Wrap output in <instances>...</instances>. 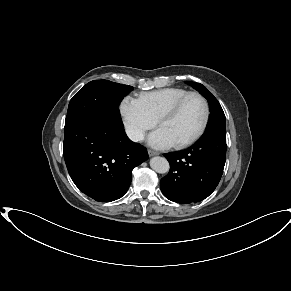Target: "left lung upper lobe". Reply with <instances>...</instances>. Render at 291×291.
I'll return each mask as SVG.
<instances>
[{
  "label": "left lung upper lobe",
  "instance_id": "5c2ea615",
  "mask_svg": "<svg viewBox=\"0 0 291 291\" xmlns=\"http://www.w3.org/2000/svg\"><path fill=\"white\" fill-rule=\"evenodd\" d=\"M187 84L191 85L194 89H196L202 96H204L210 108V116L209 122L205 129V132L211 131H224L226 132L225 125V114L223 109L217 99L212 95V93L202 84L196 82L187 81Z\"/></svg>",
  "mask_w": 291,
  "mask_h": 291
}]
</instances>
